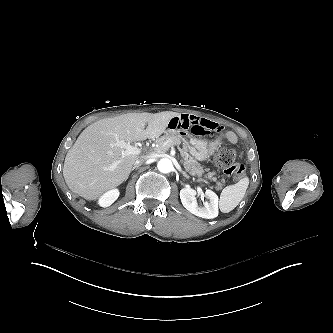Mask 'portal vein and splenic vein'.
<instances>
[{
  "label": "portal vein and splenic vein",
  "instance_id": "obj_1",
  "mask_svg": "<svg viewBox=\"0 0 333 333\" xmlns=\"http://www.w3.org/2000/svg\"><path fill=\"white\" fill-rule=\"evenodd\" d=\"M114 145L124 149L121 153L122 159L128 155H139L141 153V148L132 146L130 143H126L125 141L119 140L118 138L116 139V143Z\"/></svg>",
  "mask_w": 333,
  "mask_h": 333
}]
</instances>
